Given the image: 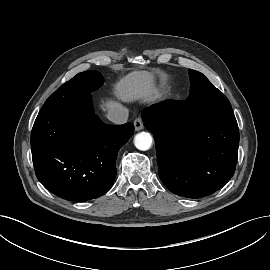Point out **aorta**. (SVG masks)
I'll return each instance as SVG.
<instances>
[{
  "label": "aorta",
  "mask_w": 270,
  "mask_h": 270,
  "mask_svg": "<svg viewBox=\"0 0 270 270\" xmlns=\"http://www.w3.org/2000/svg\"><path fill=\"white\" fill-rule=\"evenodd\" d=\"M134 145L137 149L146 151L152 145V136L148 132H140L134 137Z\"/></svg>",
  "instance_id": "aorta-1"
}]
</instances>
